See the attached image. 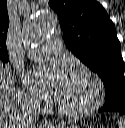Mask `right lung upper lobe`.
I'll return each mask as SVG.
<instances>
[{
    "label": "right lung upper lobe",
    "instance_id": "cb5924a9",
    "mask_svg": "<svg viewBox=\"0 0 125 128\" xmlns=\"http://www.w3.org/2000/svg\"><path fill=\"white\" fill-rule=\"evenodd\" d=\"M9 27V17L7 12V0H0V59L9 60L6 38Z\"/></svg>",
    "mask_w": 125,
    "mask_h": 128
}]
</instances>
